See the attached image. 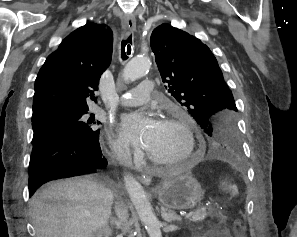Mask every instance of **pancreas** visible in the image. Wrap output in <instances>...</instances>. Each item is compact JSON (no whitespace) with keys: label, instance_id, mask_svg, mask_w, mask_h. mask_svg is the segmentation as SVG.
I'll list each match as a JSON object with an SVG mask.
<instances>
[{"label":"pancreas","instance_id":"1","mask_svg":"<svg viewBox=\"0 0 297 237\" xmlns=\"http://www.w3.org/2000/svg\"><path fill=\"white\" fill-rule=\"evenodd\" d=\"M213 213L209 212L206 207H199L197 210L191 212V216L188 219L191 222H202L208 216H212Z\"/></svg>","mask_w":297,"mask_h":237}]
</instances>
